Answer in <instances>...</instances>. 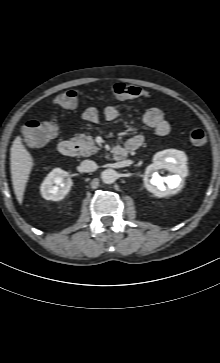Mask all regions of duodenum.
Wrapping results in <instances>:
<instances>
[{"label": "duodenum", "instance_id": "1", "mask_svg": "<svg viewBox=\"0 0 220 363\" xmlns=\"http://www.w3.org/2000/svg\"><path fill=\"white\" fill-rule=\"evenodd\" d=\"M76 150V145L71 140H62L58 144V152L63 156H71ZM128 155V149L125 147H116L113 151V158L116 161L123 160Z\"/></svg>", "mask_w": 220, "mask_h": 363}]
</instances>
